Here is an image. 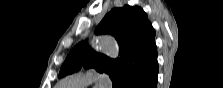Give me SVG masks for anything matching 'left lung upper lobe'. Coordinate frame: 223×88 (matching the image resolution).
I'll list each match as a JSON object with an SVG mask.
<instances>
[{
	"instance_id": "obj_1",
	"label": "left lung upper lobe",
	"mask_w": 223,
	"mask_h": 88,
	"mask_svg": "<svg viewBox=\"0 0 223 88\" xmlns=\"http://www.w3.org/2000/svg\"><path fill=\"white\" fill-rule=\"evenodd\" d=\"M95 34L114 36L119 44L120 57L110 59L91 50L87 42H81L68 54L59 77L78 71L82 66L95 68L110 76L113 88H119L157 58L155 32L141 7L125 5L112 9L97 26Z\"/></svg>"
}]
</instances>
